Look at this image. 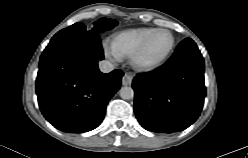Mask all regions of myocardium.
<instances>
[{"instance_id": "f54148a6", "label": "myocardium", "mask_w": 248, "mask_h": 158, "mask_svg": "<svg viewBox=\"0 0 248 158\" xmlns=\"http://www.w3.org/2000/svg\"><path fill=\"white\" fill-rule=\"evenodd\" d=\"M161 32H164L170 35L171 43H170L168 50L161 58H159L156 61L143 62L142 57L145 54L148 44L151 41L152 37L156 35L157 33H161ZM174 47H175V37L171 31H169L168 29H155L144 39L142 44L132 54L131 64L135 69L139 71L147 72V71L155 70L158 67L162 66L168 60V58L170 57V55L172 54L174 50Z\"/></svg>"}]
</instances>
